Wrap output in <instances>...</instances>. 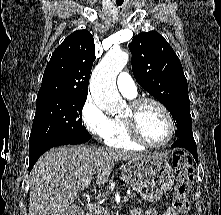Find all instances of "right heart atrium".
I'll list each match as a JSON object with an SVG mask.
<instances>
[{
    "label": "right heart atrium",
    "mask_w": 221,
    "mask_h": 215,
    "mask_svg": "<svg viewBox=\"0 0 221 215\" xmlns=\"http://www.w3.org/2000/svg\"><path fill=\"white\" fill-rule=\"evenodd\" d=\"M80 116L83 126L93 136L104 139L109 134L111 119L91 96L82 105Z\"/></svg>",
    "instance_id": "right-heart-atrium-1"
}]
</instances>
